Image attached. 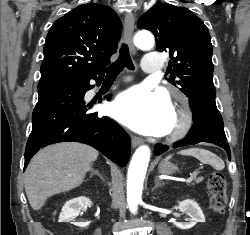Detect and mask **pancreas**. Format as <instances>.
Segmentation results:
<instances>
[{
  "mask_svg": "<svg viewBox=\"0 0 250 235\" xmlns=\"http://www.w3.org/2000/svg\"><path fill=\"white\" fill-rule=\"evenodd\" d=\"M201 181H202V178H197L195 182L200 183Z\"/></svg>",
  "mask_w": 250,
  "mask_h": 235,
  "instance_id": "pancreas-1",
  "label": "pancreas"
}]
</instances>
